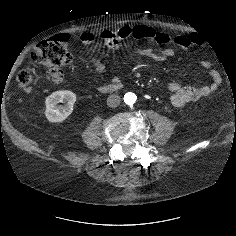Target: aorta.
<instances>
[{
    "label": "aorta",
    "mask_w": 236,
    "mask_h": 236,
    "mask_svg": "<svg viewBox=\"0 0 236 236\" xmlns=\"http://www.w3.org/2000/svg\"><path fill=\"white\" fill-rule=\"evenodd\" d=\"M137 100V96L135 93L133 92H127L125 95H124V102L127 104V105H133Z\"/></svg>",
    "instance_id": "aorta-1"
}]
</instances>
